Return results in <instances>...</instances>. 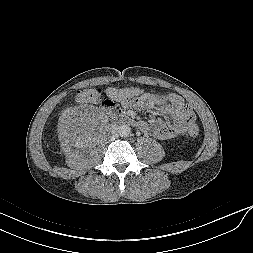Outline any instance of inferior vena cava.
Returning <instances> with one entry per match:
<instances>
[{"label":"inferior vena cava","mask_w":253,"mask_h":253,"mask_svg":"<svg viewBox=\"0 0 253 253\" xmlns=\"http://www.w3.org/2000/svg\"><path fill=\"white\" fill-rule=\"evenodd\" d=\"M112 133H113V137H115V136H116V132L113 130V132H112Z\"/></svg>","instance_id":"602c4592"}]
</instances>
